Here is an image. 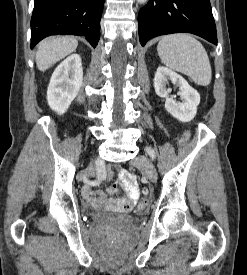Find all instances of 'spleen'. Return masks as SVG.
I'll use <instances>...</instances> for the list:
<instances>
[{"label": "spleen", "mask_w": 247, "mask_h": 275, "mask_svg": "<svg viewBox=\"0 0 247 275\" xmlns=\"http://www.w3.org/2000/svg\"><path fill=\"white\" fill-rule=\"evenodd\" d=\"M158 55L164 65L188 75L200 86H207L212 79V70L203 45L186 33L166 35L157 46Z\"/></svg>", "instance_id": "obj_1"}]
</instances>
